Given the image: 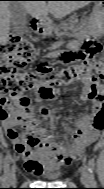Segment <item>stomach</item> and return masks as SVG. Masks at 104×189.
Returning a JSON list of instances; mask_svg holds the SVG:
<instances>
[{"mask_svg": "<svg viewBox=\"0 0 104 189\" xmlns=\"http://www.w3.org/2000/svg\"><path fill=\"white\" fill-rule=\"evenodd\" d=\"M102 5L103 4L101 2H97L90 19L83 23V27L85 28L86 32L92 33L100 28L103 16Z\"/></svg>", "mask_w": 104, "mask_h": 189, "instance_id": "obj_1", "label": "stomach"}]
</instances>
